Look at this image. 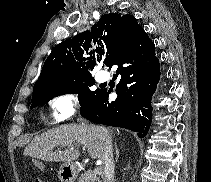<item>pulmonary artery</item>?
<instances>
[{"instance_id": "e3ab8cb5", "label": "pulmonary artery", "mask_w": 211, "mask_h": 182, "mask_svg": "<svg viewBox=\"0 0 211 182\" xmlns=\"http://www.w3.org/2000/svg\"><path fill=\"white\" fill-rule=\"evenodd\" d=\"M97 80L100 81V82H103V81L107 80V75L104 74V73H99L97 75Z\"/></svg>"}]
</instances>
